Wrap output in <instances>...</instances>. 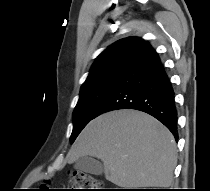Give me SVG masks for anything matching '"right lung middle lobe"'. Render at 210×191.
I'll list each match as a JSON object with an SVG mask.
<instances>
[{
  "label": "right lung middle lobe",
  "instance_id": "right-lung-middle-lobe-1",
  "mask_svg": "<svg viewBox=\"0 0 210 191\" xmlns=\"http://www.w3.org/2000/svg\"><path fill=\"white\" fill-rule=\"evenodd\" d=\"M130 56H119L91 71L80 90V98L73 112V143L82 129L96 117L99 105L112 90L128 62Z\"/></svg>",
  "mask_w": 210,
  "mask_h": 191
}]
</instances>
